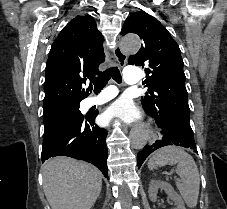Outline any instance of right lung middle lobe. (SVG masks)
Instances as JSON below:
<instances>
[{
	"label": "right lung middle lobe",
	"instance_id": "obj_1",
	"mask_svg": "<svg viewBox=\"0 0 227 209\" xmlns=\"http://www.w3.org/2000/svg\"><path fill=\"white\" fill-rule=\"evenodd\" d=\"M79 103L80 101L62 102L44 106V133L51 131L66 121L82 117L83 115L79 111Z\"/></svg>",
	"mask_w": 227,
	"mask_h": 209
}]
</instances>
